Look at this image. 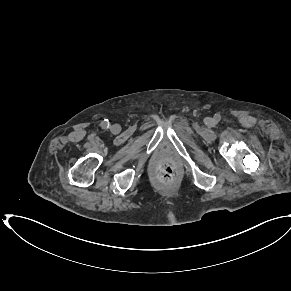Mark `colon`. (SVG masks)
<instances>
[{
    "label": "colon",
    "instance_id": "colon-1",
    "mask_svg": "<svg viewBox=\"0 0 291 291\" xmlns=\"http://www.w3.org/2000/svg\"><path fill=\"white\" fill-rule=\"evenodd\" d=\"M175 166L171 162H163L157 171L158 179L162 182H170L175 177Z\"/></svg>",
    "mask_w": 291,
    "mask_h": 291
}]
</instances>
